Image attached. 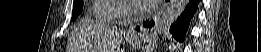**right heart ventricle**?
Wrapping results in <instances>:
<instances>
[{
	"label": "right heart ventricle",
	"instance_id": "e07e8e85",
	"mask_svg": "<svg viewBox=\"0 0 261 52\" xmlns=\"http://www.w3.org/2000/svg\"><path fill=\"white\" fill-rule=\"evenodd\" d=\"M121 10V6L112 0H96L90 8V19L99 23L120 24L116 13Z\"/></svg>",
	"mask_w": 261,
	"mask_h": 52
}]
</instances>
